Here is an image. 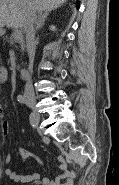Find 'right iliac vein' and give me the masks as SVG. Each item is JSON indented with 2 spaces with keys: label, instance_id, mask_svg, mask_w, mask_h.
<instances>
[{
  "label": "right iliac vein",
  "instance_id": "obj_1",
  "mask_svg": "<svg viewBox=\"0 0 119 185\" xmlns=\"http://www.w3.org/2000/svg\"><path fill=\"white\" fill-rule=\"evenodd\" d=\"M27 105L31 108V110H32V113H34V116H30V119L31 118H34L35 120V124H33V125H35V127H37L38 128V125H39V123H40V113H39V111H38V109H37V107H36V101H35V99L34 98H29L28 100H27ZM31 121V120H30Z\"/></svg>",
  "mask_w": 119,
  "mask_h": 185
}]
</instances>
